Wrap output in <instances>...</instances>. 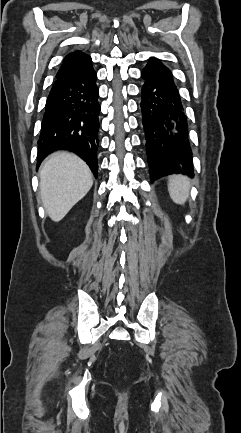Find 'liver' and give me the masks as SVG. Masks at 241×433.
<instances>
[{"instance_id":"1","label":"liver","mask_w":241,"mask_h":433,"mask_svg":"<svg viewBox=\"0 0 241 433\" xmlns=\"http://www.w3.org/2000/svg\"><path fill=\"white\" fill-rule=\"evenodd\" d=\"M40 194L48 216L62 220L93 185L87 164L69 152L51 154L40 168Z\"/></svg>"}]
</instances>
